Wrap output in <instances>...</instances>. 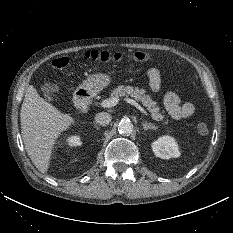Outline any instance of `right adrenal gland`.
<instances>
[{
  "mask_svg": "<svg viewBox=\"0 0 233 233\" xmlns=\"http://www.w3.org/2000/svg\"><path fill=\"white\" fill-rule=\"evenodd\" d=\"M94 124V127L97 129V130H99V127L95 124V123H93Z\"/></svg>",
  "mask_w": 233,
  "mask_h": 233,
  "instance_id": "2a0ac1e0",
  "label": "right adrenal gland"
}]
</instances>
